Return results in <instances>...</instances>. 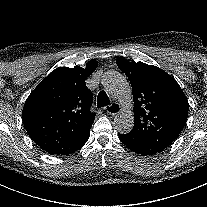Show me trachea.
<instances>
[{
  "mask_svg": "<svg viewBox=\"0 0 207 207\" xmlns=\"http://www.w3.org/2000/svg\"><path fill=\"white\" fill-rule=\"evenodd\" d=\"M110 104L109 97L107 96L106 92L101 91L98 94L97 98V107H107Z\"/></svg>",
  "mask_w": 207,
  "mask_h": 207,
  "instance_id": "1",
  "label": "trachea"
}]
</instances>
